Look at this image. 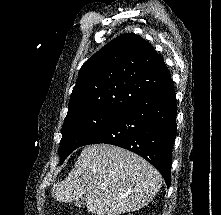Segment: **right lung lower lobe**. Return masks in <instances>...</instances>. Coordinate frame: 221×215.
<instances>
[{
	"mask_svg": "<svg viewBox=\"0 0 221 215\" xmlns=\"http://www.w3.org/2000/svg\"><path fill=\"white\" fill-rule=\"evenodd\" d=\"M176 115L175 90L170 78L158 91L123 112L85 145L106 143L130 150L156 167L169 187Z\"/></svg>",
	"mask_w": 221,
	"mask_h": 215,
	"instance_id": "98d812e1",
	"label": "right lung lower lobe"
}]
</instances>
